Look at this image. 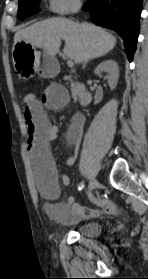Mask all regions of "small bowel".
<instances>
[{
    "label": "small bowel",
    "instance_id": "c3829d8e",
    "mask_svg": "<svg viewBox=\"0 0 148 279\" xmlns=\"http://www.w3.org/2000/svg\"><path fill=\"white\" fill-rule=\"evenodd\" d=\"M67 90L60 84L49 85L32 104L26 105L25 120L28 131V154L35 174L38 190L47 200V213L56 221L68 223L81 219L96 218L112 213L116 205L106 199L93 198L94 208L82 207L70 196L66 203H53L58 194V171L50 150V142L56 138L57 132L50 121L47 110H57L68 102ZM85 118L76 114L72 118L68 132L71 154L66 165H72L78 153ZM61 182L70 185L71 180L66 174L61 175Z\"/></svg>",
    "mask_w": 148,
    "mask_h": 279
}]
</instances>
